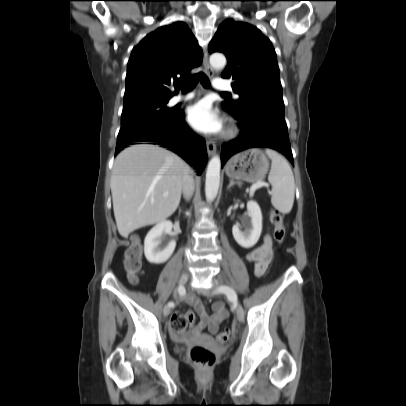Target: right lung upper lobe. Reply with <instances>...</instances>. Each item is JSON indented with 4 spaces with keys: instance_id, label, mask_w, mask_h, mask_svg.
Masks as SVG:
<instances>
[{
    "instance_id": "cb5924a9",
    "label": "right lung upper lobe",
    "mask_w": 406,
    "mask_h": 406,
    "mask_svg": "<svg viewBox=\"0 0 406 406\" xmlns=\"http://www.w3.org/2000/svg\"><path fill=\"white\" fill-rule=\"evenodd\" d=\"M202 59V50L185 23L175 22L151 32L132 50L124 106L170 99L176 94L170 87L190 78V70L201 65Z\"/></svg>"
}]
</instances>
